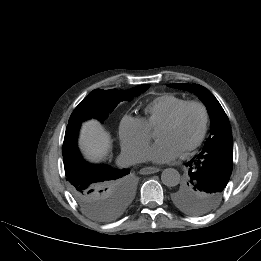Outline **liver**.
Segmentation results:
<instances>
[{
    "label": "liver",
    "instance_id": "1",
    "mask_svg": "<svg viewBox=\"0 0 261 261\" xmlns=\"http://www.w3.org/2000/svg\"><path fill=\"white\" fill-rule=\"evenodd\" d=\"M79 146L86 158L91 161H100L111 148V138L97 120H88L83 123Z\"/></svg>",
    "mask_w": 261,
    "mask_h": 261
}]
</instances>
